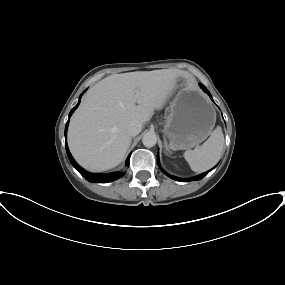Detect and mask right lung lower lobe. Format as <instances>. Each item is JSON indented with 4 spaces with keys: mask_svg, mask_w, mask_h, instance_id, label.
I'll use <instances>...</instances> for the list:
<instances>
[{
    "mask_svg": "<svg viewBox=\"0 0 285 285\" xmlns=\"http://www.w3.org/2000/svg\"><path fill=\"white\" fill-rule=\"evenodd\" d=\"M79 103H80V100H79L78 104L70 111L69 116L72 115L74 110L78 107ZM68 124H69V120L67 121L66 126H65V137H66V133H67ZM65 147H66L67 156H68L71 164L87 181L92 182V183H97V182L98 183H106V182H112L114 180H117L118 178H120L122 176V174L119 172H116V173L112 172V173H107V174H94V173H89V172L85 171L83 168H81L75 162V160L71 156L69 149H68V146H67L66 140H65ZM130 155L127 158V163H126L127 165L129 164Z\"/></svg>",
    "mask_w": 285,
    "mask_h": 285,
    "instance_id": "1",
    "label": "right lung lower lobe"
}]
</instances>
